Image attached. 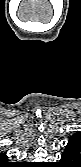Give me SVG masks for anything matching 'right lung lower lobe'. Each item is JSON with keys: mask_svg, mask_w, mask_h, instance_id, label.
<instances>
[{"mask_svg": "<svg viewBox=\"0 0 81 167\" xmlns=\"http://www.w3.org/2000/svg\"><path fill=\"white\" fill-rule=\"evenodd\" d=\"M16 166H19V165L15 164V163H8L7 164V167H16Z\"/></svg>", "mask_w": 81, "mask_h": 167, "instance_id": "98d812e1", "label": "right lung lower lobe"}]
</instances>
